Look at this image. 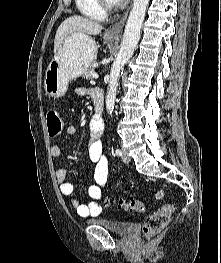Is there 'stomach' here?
<instances>
[{"label": "stomach", "instance_id": "stomach-1", "mask_svg": "<svg viewBox=\"0 0 221 263\" xmlns=\"http://www.w3.org/2000/svg\"><path fill=\"white\" fill-rule=\"evenodd\" d=\"M106 43L114 40L104 37ZM97 56L93 38L83 33L66 37L45 72L44 90L49 97L59 98L67 90L69 82L81 76Z\"/></svg>", "mask_w": 221, "mask_h": 263}]
</instances>
